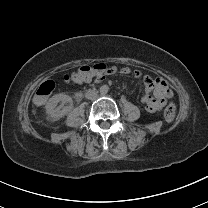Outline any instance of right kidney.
<instances>
[{
	"instance_id": "right-kidney-1",
	"label": "right kidney",
	"mask_w": 208,
	"mask_h": 208,
	"mask_svg": "<svg viewBox=\"0 0 208 208\" xmlns=\"http://www.w3.org/2000/svg\"><path fill=\"white\" fill-rule=\"evenodd\" d=\"M60 101L68 103V106L62 105L59 107L58 103ZM71 105H72V98L70 96L65 95L63 93H58L52 96L48 100L45 108L48 114L58 119L65 116L70 111Z\"/></svg>"
}]
</instances>
